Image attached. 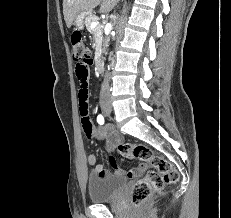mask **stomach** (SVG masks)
I'll return each mask as SVG.
<instances>
[{
  "instance_id": "obj_1",
  "label": "stomach",
  "mask_w": 231,
  "mask_h": 218,
  "mask_svg": "<svg viewBox=\"0 0 231 218\" xmlns=\"http://www.w3.org/2000/svg\"><path fill=\"white\" fill-rule=\"evenodd\" d=\"M87 13H80L76 16V18L74 19V26L79 29L82 30L84 27V18L85 16H87Z\"/></svg>"
}]
</instances>
